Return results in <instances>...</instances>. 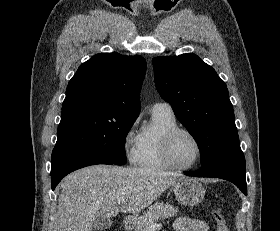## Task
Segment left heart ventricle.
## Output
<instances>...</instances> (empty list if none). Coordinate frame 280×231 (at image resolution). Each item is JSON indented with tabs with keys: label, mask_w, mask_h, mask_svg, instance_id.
Returning <instances> with one entry per match:
<instances>
[{
	"label": "left heart ventricle",
	"mask_w": 280,
	"mask_h": 231,
	"mask_svg": "<svg viewBox=\"0 0 280 231\" xmlns=\"http://www.w3.org/2000/svg\"><path fill=\"white\" fill-rule=\"evenodd\" d=\"M171 155L177 165H193L198 157L196 141L188 134H178L172 142Z\"/></svg>",
	"instance_id": "left-heart-ventricle-1"
}]
</instances>
